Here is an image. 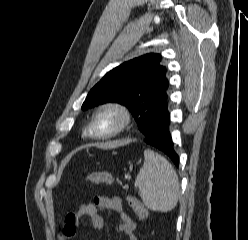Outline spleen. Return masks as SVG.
Masks as SVG:
<instances>
[{"mask_svg": "<svg viewBox=\"0 0 248 240\" xmlns=\"http://www.w3.org/2000/svg\"><path fill=\"white\" fill-rule=\"evenodd\" d=\"M144 164L134 186L148 209L158 212L171 211L180 195L179 181L173 166L162 155L144 151Z\"/></svg>", "mask_w": 248, "mask_h": 240, "instance_id": "obj_1", "label": "spleen"}]
</instances>
